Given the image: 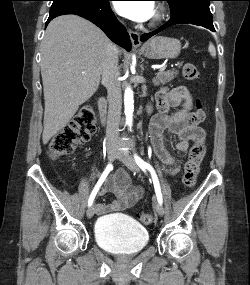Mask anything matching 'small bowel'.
I'll use <instances>...</instances> for the list:
<instances>
[{"mask_svg": "<svg viewBox=\"0 0 250 285\" xmlns=\"http://www.w3.org/2000/svg\"><path fill=\"white\" fill-rule=\"evenodd\" d=\"M156 105L158 113L152 118L149 127L151 144L163 166L168 167L170 174H176L180 165L166 146V135H176V150L186 153L191 142L205 140V132L199 125L204 119V112L193 110V96L184 86L159 90L156 93ZM107 190L112 192L116 199L109 204H97L95 211L98 215L127 209L143 195V189L134 187L129 175L123 170L118 171L108 181Z\"/></svg>", "mask_w": 250, "mask_h": 285, "instance_id": "c3829d8e", "label": "small bowel"}]
</instances>
